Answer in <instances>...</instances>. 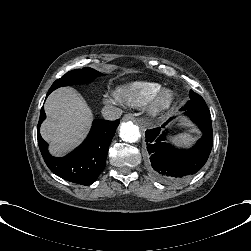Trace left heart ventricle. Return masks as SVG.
Returning <instances> with one entry per match:
<instances>
[{"label": "left heart ventricle", "mask_w": 251, "mask_h": 251, "mask_svg": "<svg viewBox=\"0 0 251 251\" xmlns=\"http://www.w3.org/2000/svg\"><path fill=\"white\" fill-rule=\"evenodd\" d=\"M172 97H173V94L170 90H164L162 93H161V96H160V100L162 102H169L172 100Z\"/></svg>", "instance_id": "obj_1"}]
</instances>
